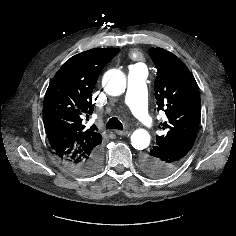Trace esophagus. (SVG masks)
<instances>
[{"mask_svg": "<svg viewBox=\"0 0 236 236\" xmlns=\"http://www.w3.org/2000/svg\"><path fill=\"white\" fill-rule=\"evenodd\" d=\"M115 133L119 136H126L129 134V131H120V130H116Z\"/></svg>", "mask_w": 236, "mask_h": 236, "instance_id": "esophagus-1", "label": "esophagus"}]
</instances>
